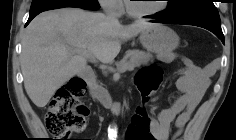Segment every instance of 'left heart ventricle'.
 Listing matches in <instances>:
<instances>
[{
    "label": "left heart ventricle",
    "instance_id": "1",
    "mask_svg": "<svg viewBox=\"0 0 236 140\" xmlns=\"http://www.w3.org/2000/svg\"><path fill=\"white\" fill-rule=\"evenodd\" d=\"M161 5L157 0H138L131 2V6L137 11H150Z\"/></svg>",
    "mask_w": 236,
    "mask_h": 140
}]
</instances>
